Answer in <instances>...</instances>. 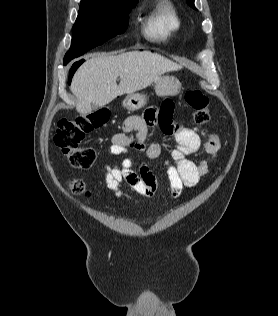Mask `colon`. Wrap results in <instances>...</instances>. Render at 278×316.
Wrapping results in <instances>:
<instances>
[{
    "instance_id": "1",
    "label": "colon",
    "mask_w": 278,
    "mask_h": 316,
    "mask_svg": "<svg viewBox=\"0 0 278 316\" xmlns=\"http://www.w3.org/2000/svg\"><path fill=\"white\" fill-rule=\"evenodd\" d=\"M186 103L194 110L193 118L197 124H206L211 120L207 97L196 88H188L185 93ZM108 114L105 111H97L88 115H79L73 119L62 118L54 135L55 144L69 158L73 167L79 169L90 168L98 157V151L94 147L81 145L85 135L105 125ZM74 194L86 192L82 180L75 179L69 184Z\"/></svg>"
}]
</instances>
